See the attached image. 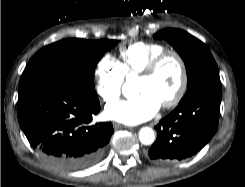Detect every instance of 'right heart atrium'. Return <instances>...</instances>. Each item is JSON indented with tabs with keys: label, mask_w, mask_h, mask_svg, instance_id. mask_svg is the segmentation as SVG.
Returning a JSON list of instances; mask_svg holds the SVG:
<instances>
[{
	"label": "right heart atrium",
	"mask_w": 245,
	"mask_h": 187,
	"mask_svg": "<svg viewBox=\"0 0 245 187\" xmlns=\"http://www.w3.org/2000/svg\"><path fill=\"white\" fill-rule=\"evenodd\" d=\"M96 92L107 104L119 100L125 76L119 63L110 55L99 59L95 67Z\"/></svg>",
	"instance_id": "right-heart-atrium-1"
}]
</instances>
